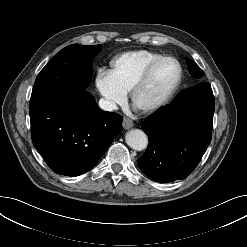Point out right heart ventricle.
Instances as JSON below:
<instances>
[{
  "mask_svg": "<svg viewBox=\"0 0 247 247\" xmlns=\"http://www.w3.org/2000/svg\"><path fill=\"white\" fill-rule=\"evenodd\" d=\"M159 56L148 50L125 52L112 60L111 74L117 84L128 92L146 66Z\"/></svg>",
  "mask_w": 247,
  "mask_h": 247,
  "instance_id": "e07e8e85",
  "label": "right heart ventricle"
}]
</instances>
